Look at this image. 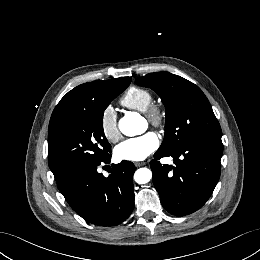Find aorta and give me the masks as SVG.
Masks as SVG:
<instances>
[{
    "label": "aorta",
    "instance_id": "762f6f07",
    "mask_svg": "<svg viewBox=\"0 0 260 260\" xmlns=\"http://www.w3.org/2000/svg\"><path fill=\"white\" fill-rule=\"evenodd\" d=\"M119 130L126 136H135L143 131L138 117L126 115L119 121ZM152 178V172L148 168H139L134 174V180L138 184H146Z\"/></svg>",
    "mask_w": 260,
    "mask_h": 260
}]
</instances>
